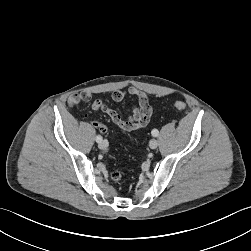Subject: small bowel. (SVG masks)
Here are the masks:
<instances>
[{"label": "small bowel", "instance_id": "1", "mask_svg": "<svg viewBox=\"0 0 251 251\" xmlns=\"http://www.w3.org/2000/svg\"><path fill=\"white\" fill-rule=\"evenodd\" d=\"M127 94L136 97L138 101V105L132 107L131 114L127 118H123L116 110L109 107L101 99H95L92 102L91 108L93 111H102L107 114L110 120L124 131H134L147 126L152 114V106L148 95L135 87H129L126 91H114L111 98L114 102H120ZM91 98V93L82 92L71 96L68 102L70 106H76L82 101H90Z\"/></svg>", "mask_w": 251, "mask_h": 251}]
</instances>
